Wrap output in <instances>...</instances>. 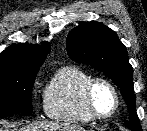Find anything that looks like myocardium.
I'll return each mask as SVG.
<instances>
[{"instance_id":"obj_1","label":"myocardium","mask_w":147,"mask_h":131,"mask_svg":"<svg viewBox=\"0 0 147 131\" xmlns=\"http://www.w3.org/2000/svg\"><path fill=\"white\" fill-rule=\"evenodd\" d=\"M98 83L106 84L113 92L115 97V105L114 108L107 114H100L96 111L93 104V90ZM84 105L87 113L94 120H106L112 117L120 107V94L116 87V85L109 79L105 77H92L87 84L85 85L83 92Z\"/></svg>"}]
</instances>
